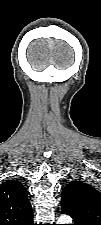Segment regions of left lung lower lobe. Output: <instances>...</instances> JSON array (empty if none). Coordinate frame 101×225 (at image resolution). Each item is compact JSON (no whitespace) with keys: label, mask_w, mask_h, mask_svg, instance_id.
Masks as SVG:
<instances>
[{"label":"left lung lower lobe","mask_w":101,"mask_h":225,"mask_svg":"<svg viewBox=\"0 0 101 225\" xmlns=\"http://www.w3.org/2000/svg\"><path fill=\"white\" fill-rule=\"evenodd\" d=\"M73 225H96V224L85 220L75 219Z\"/></svg>","instance_id":"obj_1"}]
</instances>
